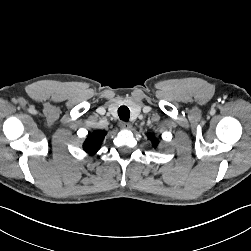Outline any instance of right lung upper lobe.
Segmentation results:
<instances>
[{"label": "right lung upper lobe", "instance_id": "obj_1", "mask_svg": "<svg viewBox=\"0 0 251 251\" xmlns=\"http://www.w3.org/2000/svg\"><path fill=\"white\" fill-rule=\"evenodd\" d=\"M106 135L105 131H96L90 134L83 144V149L90 154H95L101 146V143Z\"/></svg>", "mask_w": 251, "mask_h": 251}]
</instances>
